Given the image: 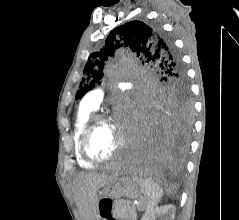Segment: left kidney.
<instances>
[{"instance_id":"1","label":"left kidney","mask_w":239,"mask_h":220,"mask_svg":"<svg viewBox=\"0 0 239 220\" xmlns=\"http://www.w3.org/2000/svg\"><path fill=\"white\" fill-rule=\"evenodd\" d=\"M175 213L176 207L174 205H164L147 210L141 220H174Z\"/></svg>"}]
</instances>
